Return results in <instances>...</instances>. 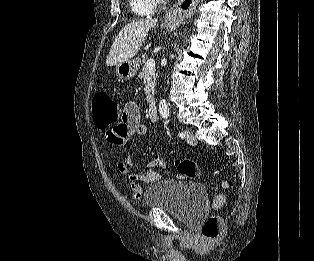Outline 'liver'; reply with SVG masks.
<instances>
[{"mask_svg": "<svg viewBox=\"0 0 314 261\" xmlns=\"http://www.w3.org/2000/svg\"><path fill=\"white\" fill-rule=\"evenodd\" d=\"M156 23V19H145L129 23L123 27L112 44L106 65L117 66L134 57L145 42L149 30ZM150 46L151 43L145 49Z\"/></svg>", "mask_w": 314, "mask_h": 261, "instance_id": "liver-1", "label": "liver"}]
</instances>
